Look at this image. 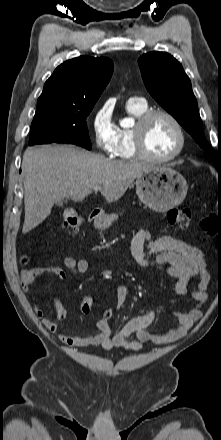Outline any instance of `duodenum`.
<instances>
[{"label": "duodenum", "mask_w": 221, "mask_h": 440, "mask_svg": "<svg viewBox=\"0 0 221 440\" xmlns=\"http://www.w3.org/2000/svg\"><path fill=\"white\" fill-rule=\"evenodd\" d=\"M96 218H100L101 217V213H98L95 215Z\"/></svg>", "instance_id": "obj_1"}]
</instances>
